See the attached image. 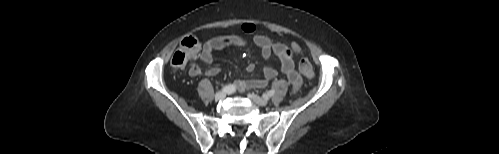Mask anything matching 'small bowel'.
<instances>
[{"label": "small bowel", "mask_w": 499, "mask_h": 154, "mask_svg": "<svg viewBox=\"0 0 499 154\" xmlns=\"http://www.w3.org/2000/svg\"><path fill=\"white\" fill-rule=\"evenodd\" d=\"M241 31L245 34H252V42L260 49L264 58H270L275 55L281 63V73L288 79L294 91H297L301 84L302 78L295 69L294 56L301 53L300 51L293 50L282 43H275L268 37L254 33L255 27L251 24H244L241 26ZM248 41L240 35L220 36L208 40L201 53V60L205 63L206 67L201 68L196 63L189 66V74L191 76L208 75L214 76L219 73L218 67L210 66L213 61L214 53L225 47L246 46ZM246 70L252 72L254 64L247 65ZM278 75V71L271 67L265 66L263 69V77L258 79L239 80L235 83L236 89L244 92L247 89H259L265 87L272 79Z\"/></svg>", "instance_id": "1"}]
</instances>
